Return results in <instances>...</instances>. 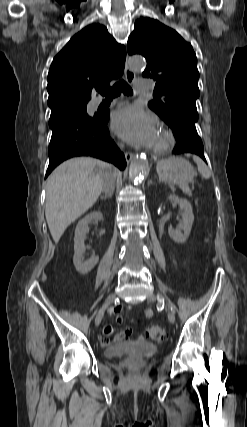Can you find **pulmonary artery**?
I'll return each mask as SVG.
<instances>
[{
    "mask_svg": "<svg viewBox=\"0 0 247 427\" xmlns=\"http://www.w3.org/2000/svg\"><path fill=\"white\" fill-rule=\"evenodd\" d=\"M135 88H136L137 92H146V91H149L151 89V84L146 80H142V81L137 82Z\"/></svg>",
    "mask_w": 247,
    "mask_h": 427,
    "instance_id": "obj_1",
    "label": "pulmonary artery"
}]
</instances>
